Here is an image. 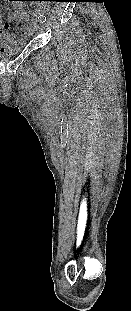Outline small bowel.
Here are the masks:
<instances>
[{
	"label": "small bowel",
	"instance_id": "1",
	"mask_svg": "<svg viewBox=\"0 0 131 311\" xmlns=\"http://www.w3.org/2000/svg\"><path fill=\"white\" fill-rule=\"evenodd\" d=\"M11 34L7 31V27L3 28L0 23V39H10Z\"/></svg>",
	"mask_w": 131,
	"mask_h": 311
}]
</instances>
